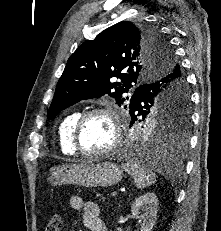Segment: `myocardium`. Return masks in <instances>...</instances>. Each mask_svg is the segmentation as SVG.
I'll return each mask as SVG.
<instances>
[{"instance_id": "obj_1", "label": "myocardium", "mask_w": 221, "mask_h": 231, "mask_svg": "<svg viewBox=\"0 0 221 231\" xmlns=\"http://www.w3.org/2000/svg\"><path fill=\"white\" fill-rule=\"evenodd\" d=\"M97 114L106 115L111 121L114 131L113 141L107 148L103 150L95 151V152L86 151L82 149L80 145V141H79L80 131L85 121L89 117ZM122 138H123V128H122L120 116L117 110L110 106H99L84 111L82 114L79 115V117L75 121L72 130V146L74 150L83 156L92 157V158L103 157L111 154L120 146Z\"/></svg>"}]
</instances>
